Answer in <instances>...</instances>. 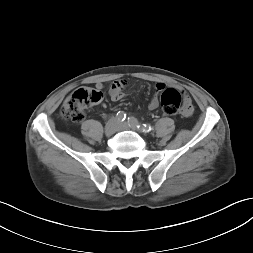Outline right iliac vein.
<instances>
[{
    "label": "right iliac vein",
    "mask_w": 253,
    "mask_h": 253,
    "mask_svg": "<svg viewBox=\"0 0 253 253\" xmlns=\"http://www.w3.org/2000/svg\"><path fill=\"white\" fill-rule=\"evenodd\" d=\"M119 122L116 118H111L105 125V134L110 136L118 131Z\"/></svg>",
    "instance_id": "right-iliac-vein-1"
}]
</instances>
